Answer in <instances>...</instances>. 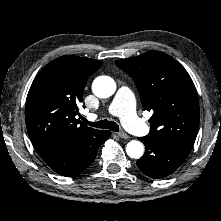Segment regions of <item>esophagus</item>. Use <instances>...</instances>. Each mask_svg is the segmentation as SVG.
Returning <instances> with one entry per match:
<instances>
[{
  "instance_id": "esophagus-1",
  "label": "esophagus",
  "mask_w": 221,
  "mask_h": 221,
  "mask_svg": "<svg viewBox=\"0 0 221 221\" xmlns=\"http://www.w3.org/2000/svg\"><path fill=\"white\" fill-rule=\"evenodd\" d=\"M118 136L120 138H123V139H128L129 138V135L126 132H124V131L119 132Z\"/></svg>"
}]
</instances>
